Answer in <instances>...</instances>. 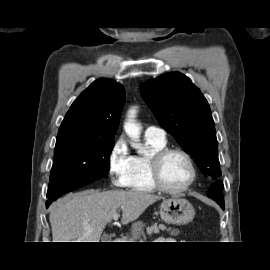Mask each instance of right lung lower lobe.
Segmentation results:
<instances>
[{"instance_id":"1","label":"right lung lower lobe","mask_w":270,"mask_h":270,"mask_svg":"<svg viewBox=\"0 0 270 270\" xmlns=\"http://www.w3.org/2000/svg\"><path fill=\"white\" fill-rule=\"evenodd\" d=\"M52 201H54V200H47L46 201V207H49V205L52 203Z\"/></svg>"}]
</instances>
